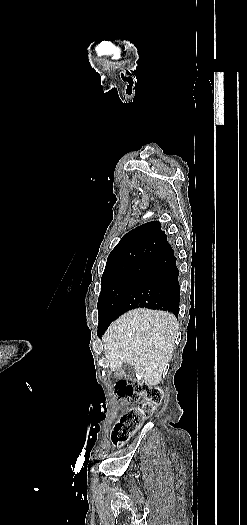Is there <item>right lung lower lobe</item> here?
I'll use <instances>...</instances> for the list:
<instances>
[{
    "instance_id": "obj_1",
    "label": "right lung lower lobe",
    "mask_w": 247,
    "mask_h": 525,
    "mask_svg": "<svg viewBox=\"0 0 247 525\" xmlns=\"http://www.w3.org/2000/svg\"><path fill=\"white\" fill-rule=\"evenodd\" d=\"M174 251L169 245L156 255L118 308L119 316L135 308L165 310L178 316L180 287ZM108 327L98 326L101 337Z\"/></svg>"
}]
</instances>
